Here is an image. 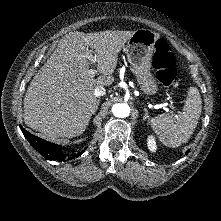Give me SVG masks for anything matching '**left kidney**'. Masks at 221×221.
Returning a JSON list of instances; mask_svg holds the SVG:
<instances>
[{
  "label": "left kidney",
  "instance_id": "left-kidney-1",
  "mask_svg": "<svg viewBox=\"0 0 221 221\" xmlns=\"http://www.w3.org/2000/svg\"><path fill=\"white\" fill-rule=\"evenodd\" d=\"M148 148L150 151L155 152L157 149L156 141L152 136L148 137L147 140Z\"/></svg>",
  "mask_w": 221,
  "mask_h": 221
}]
</instances>
